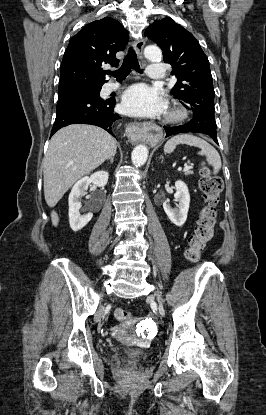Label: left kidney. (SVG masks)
Wrapping results in <instances>:
<instances>
[{
    "instance_id": "obj_1",
    "label": "left kidney",
    "mask_w": 266,
    "mask_h": 415,
    "mask_svg": "<svg viewBox=\"0 0 266 415\" xmlns=\"http://www.w3.org/2000/svg\"><path fill=\"white\" fill-rule=\"evenodd\" d=\"M175 188L176 193L174 194V197L175 201L178 202L177 208L172 209L166 202L163 204V208L170 221L180 227L187 219L190 194L187 185L181 180L175 182Z\"/></svg>"
}]
</instances>
